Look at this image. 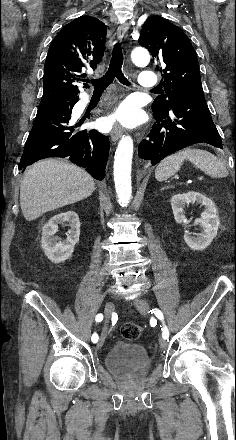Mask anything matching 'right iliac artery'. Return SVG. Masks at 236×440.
Listing matches in <instances>:
<instances>
[{
    "mask_svg": "<svg viewBox=\"0 0 236 440\" xmlns=\"http://www.w3.org/2000/svg\"><path fill=\"white\" fill-rule=\"evenodd\" d=\"M95 320H96V322H101L103 320V315L101 313L97 314ZM98 339H99L98 335L96 333H94L91 338L92 342L96 343L98 341Z\"/></svg>",
    "mask_w": 236,
    "mask_h": 440,
    "instance_id": "1",
    "label": "right iliac artery"
}]
</instances>
